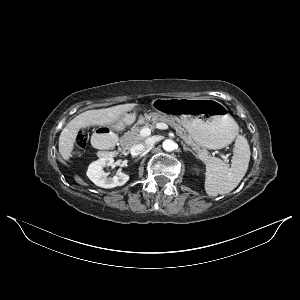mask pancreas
Masks as SVG:
<instances>
[{
	"instance_id": "cf45deb5",
	"label": "pancreas",
	"mask_w": 300,
	"mask_h": 300,
	"mask_svg": "<svg viewBox=\"0 0 300 300\" xmlns=\"http://www.w3.org/2000/svg\"><path fill=\"white\" fill-rule=\"evenodd\" d=\"M167 123L169 124L187 144L192 146V148L196 151L198 157L203 161L207 162L212 157L209 155V152L201 148L198 143H196L189 134L182 128V126L172 118H169L164 115H145V117H142L137 124H135L130 131L126 132L121 138H120V148L121 150L125 151L130 149L133 145L143 142L145 140V137H143L140 132L142 130L139 125H144V127H148L151 130H154L157 123Z\"/></svg>"
}]
</instances>
